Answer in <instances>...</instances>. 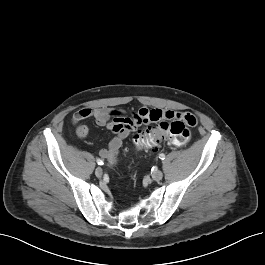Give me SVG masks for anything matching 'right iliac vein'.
I'll return each mask as SVG.
<instances>
[{"label": "right iliac vein", "mask_w": 265, "mask_h": 265, "mask_svg": "<svg viewBox=\"0 0 265 265\" xmlns=\"http://www.w3.org/2000/svg\"><path fill=\"white\" fill-rule=\"evenodd\" d=\"M102 174H103L102 169H101L100 167H97L96 170H95V175H96L97 177H101Z\"/></svg>", "instance_id": "1"}]
</instances>
